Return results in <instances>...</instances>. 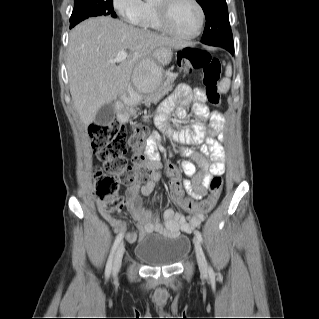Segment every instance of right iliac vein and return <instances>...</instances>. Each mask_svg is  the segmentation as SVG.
<instances>
[{
	"instance_id": "1",
	"label": "right iliac vein",
	"mask_w": 319,
	"mask_h": 319,
	"mask_svg": "<svg viewBox=\"0 0 319 319\" xmlns=\"http://www.w3.org/2000/svg\"><path fill=\"white\" fill-rule=\"evenodd\" d=\"M124 252H125V245L122 243L118 247V249L115 253V256H114L113 265H112L113 275H116L120 270Z\"/></svg>"
}]
</instances>
